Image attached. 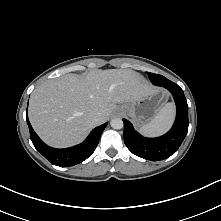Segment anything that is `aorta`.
<instances>
[{
    "mask_svg": "<svg viewBox=\"0 0 221 221\" xmlns=\"http://www.w3.org/2000/svg\"><path fill=\"white\" fill-rule=\"evenodd\" d=\"M111 127L113 129H122L123 128V121L121 118H113L110 122Z\"/></svg>",
    "mask_w": 221,
    "mask_h": 221,
    "instance_id": "1",
    "label": "aorta"
}]
</instances>
